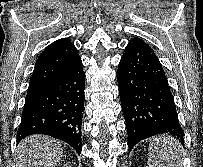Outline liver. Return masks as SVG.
<instances>
[{
  "instance_id": "liver-1",
  "label": "liver",
  "mask_w": 203,
  "mask_h": 167,
  "mask_svg": "<svg viewBox=\"0 0 203 167\" xmlns=\"http://www.w3.org/2000/svg\"><path fill=\"white\" fill-rule=\"evenodd\" d=\"M63 154L60 143L48 136L34 135L17 147L18 167H56Z\"/></svg>"
}]
</instances>
